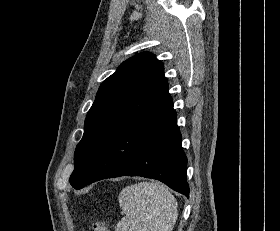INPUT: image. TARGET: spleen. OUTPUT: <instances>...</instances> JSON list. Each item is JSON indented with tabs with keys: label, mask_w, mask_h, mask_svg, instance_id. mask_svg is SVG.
<instances>
[{
	"label": "spleen",
	"mask_w": 280,
	"mask_h": 231,
	"mask_svg": "<svg viewBox=\"0 0 280 231\" xmlns=\"http://www.w3.org/2000/svg\"><path fill=\"white\" fill-rule=\"evenodd\" d=\"M119 205L125 215L116 231H172L178 215L176 197L159 181L127 185Z\"/></svg>",
	"instance_id": "spleen-1"
}]
</instances>
